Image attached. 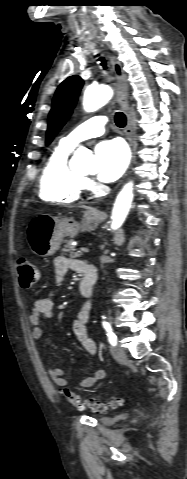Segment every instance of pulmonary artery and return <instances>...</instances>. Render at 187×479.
<instances>
[{"instance_id":"e3ab8cb5","label":"pulmonary artery","mask_w":187,"mask_h":479,"mask_svg":"<svg viewBox=\"0 0 187 479\" xmlns=\"http://www.w3.org/2000/svg\"><path fill=\"white\" fill-rule=\"evenodd\" d=\"M107 122L108 118L104 115L93 116L64 136L61 141L67 146L74 147L83 140L103 134Z\"/></svg>"}]
</instances>
